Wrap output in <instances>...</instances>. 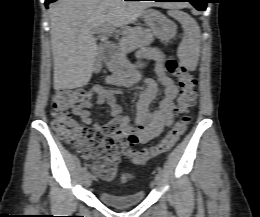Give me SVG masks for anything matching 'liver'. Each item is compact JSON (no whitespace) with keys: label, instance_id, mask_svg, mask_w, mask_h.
I'll return each mask as SVG.
<instances>
[{"label":"liver","instance_id":"liver-1","mask_svg":"<svg viewBox=\"0 0 260 217\" xmlns=\"http://www.w3.org/2000/svg\"><path fill=\"white\" fill-rule=\"evenodd\" d=\"M170 3H140L123 0H58L50 5V35L54 62L55 90L86 85L97 55L92 31L104 26L123 27L133 23L144 10ZM106 37H101L105 41Z\"/></svg>","mask_w":260,"mask_h":217}]
</instances>
